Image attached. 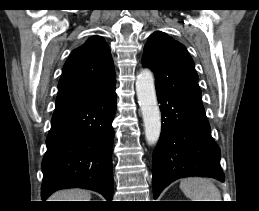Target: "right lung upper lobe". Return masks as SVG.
I'll list each match as a JSON object with an SVG mask.
<instances>
[{"label":"right lung upper lobe","mask_w":259,"mask_h":211,"mask_svg":"<svg viewBox=\"0 0 259 211\" xmlns=\"http://www.w3.org/2000/svg\"><path fill=\"white\" fill-rule=\"evenodd\" d=\"M113 89L115 72L109 46L102 37L92 36L67 59L55 110L86 103Z\"/></svg>","instance_id":"obj_1"}]
</instances>
